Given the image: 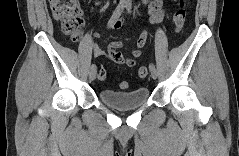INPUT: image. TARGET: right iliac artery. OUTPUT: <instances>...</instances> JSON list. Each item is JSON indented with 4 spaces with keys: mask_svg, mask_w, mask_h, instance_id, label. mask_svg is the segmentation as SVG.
I'll use <instances>...</instances> for the list:
<instances>
[{
    "mask_svg": "<svg viewBox=\"0 0 239 156\" xmlns=\"http://www.w3.org/2000/svg\"><path fill=\"white\" fill-rule=\"evenodd\" d=\"M125 8V4L124 3H119L118 6L116 7L115 11L113 12L110 20L108 21V27H111L120 17V15L122 14L123 10ZM96 68L95 64L91 65V69Z\"/></svg>",
    "mask_w": 239,
    "mask_h": 156,
    "instance_id": "1",
    "label": "right iliac artery"
}]
</instances>
